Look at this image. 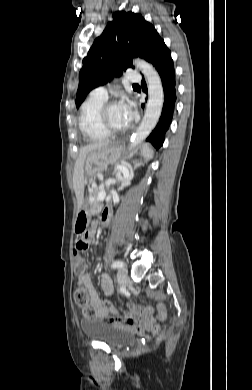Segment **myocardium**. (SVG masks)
Returning a JSON list of instances; mask_svg holds the SVG:
<instances>
[{"label":"myocardium","mask_w":252,"mask_h":390,"mask_svg":"<svg viewBox=\"0 0 252 390\" xmlns=\"http://www.w3.org/2000/svg\"><path fill=\"white\" fill-rule=\"evenodd\" d=\"M117 104L115 101H106L100 108L98 118L101 128L110 135H120L128 130V126L123 129H115L107 119V110L110 106Z\"/></svg>","instance_id":"obj_1"}]
</instances>
